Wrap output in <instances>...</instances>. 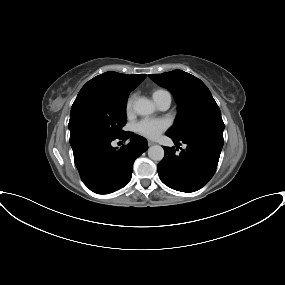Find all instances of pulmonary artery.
<instances>
[{
	"label": "pulmonary artery",
	"mask_w": 285,
	"mask_h": 285,
	"mask_svg": "<svg viewBox=\"0 0 285 285\" xmlns=\"http://www.w3.org/2000/svg\"><path fill=\"white\" fill-rule=\"evenodd\" d=\"M154 101L161 110H166L171 105V95L164 94L160 96L159 98L155 99Z\"/></svg>",
	"instance_id": "e3ab8cb5"
}]
</instances>
